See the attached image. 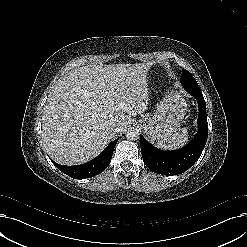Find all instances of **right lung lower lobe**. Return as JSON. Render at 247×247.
<instances>
[{
	"mask_svg": "<svg viewBox=\"0 0 247 247\" xmlns=\"http://www.w3.org/2000/svg\"><path fill=\"white\" fill-rule=\"evenodd\" d=\"M117 142L118 139L114 140L106 147V149L101 154L82 165L64 166L57 164L54 161L52 162L60 171L74 179L93 177L97 174L102 173L108 167L112 158L114 147Z\"/></svg>",
	"mask_w": 247,
	"mask_h": 247,
	"instance_id": "obj_1",
	"label": "right lung lower lobe"
}]
</instances>
